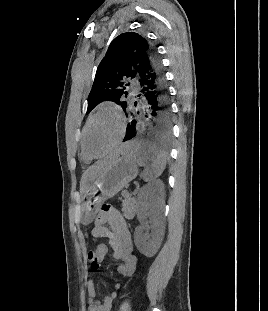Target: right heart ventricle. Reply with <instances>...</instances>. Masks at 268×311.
Listing matches in <instances>:
<instances>
[{
  "label": "right heart ventricle",
  "mask_w": 268,
  "mask_h": 311,
  "mask_svg": "<svg viewBox=\"0 0 268 311\" xmlns=\"http://www.w3.org/2000/svg\"><path fill=\"white\" fill-rule=\"evenodd\" d=\"M81 155H82V158H83V160H84L85 162H89V161H90V157H88V156L86 155V153L84 152L83 149H82Z\"/></svg>",
  "instance_id": "1"
}]
</instances>
